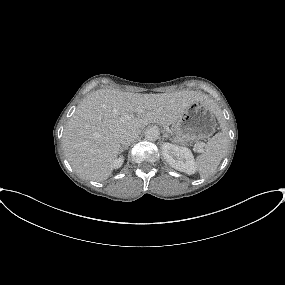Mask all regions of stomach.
Wrapping results in <instances>:
<instances>
[{"label": "stomach", "instance_id": "0dacf381", "mask_svg": "<svg viewBox=\"0 0 285 285\" xmlns=\"http://www.w3.org/2000/svg\"><path fill=\"white\" fill-rule=\"evenodd\" d=\"M216 113L202 102L191 105L184 115L173 125L174 142L187 145L188 143L209 138L216 129Z\"/></svg>", "mask_w": 285, "mask_h": 285}]
</instances>
